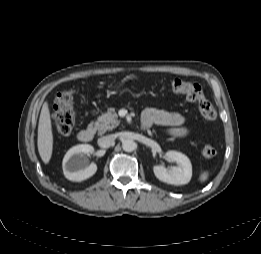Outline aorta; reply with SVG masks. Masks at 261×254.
Wrapping results in <instances>:
<instances>
[{"label":"aorta","instance_id":"obj_1","mask_svg":"<svg viewBox=\"0 0 261 254\" xmlns=\"http://www.w3.org/2000/svg\"><path fill=\"white\" fill-rule=\"evenodd\" d=\"M122 148L125 152H132L136 148V143L132 139L122 141Z\"/></svg>","mask_w":261,"mask_h":254}]
</instances>
